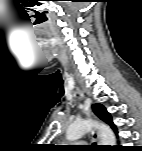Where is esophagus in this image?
<instances>
[{
    "instance_id": "esophagus-1",
    "label": "esophagus",
    "mask_w": 142,
    "mask_h": 151,
    "mask_svg": "<svg viewBox=\"0 0 142 151\" xmlns=\"http://www.w3.org/2000/svg\"><path fill=\"white\" fill-rule=\"evenodd\" d=\"M92 135H93L94 138L99 139V136H98V133H97L96 130L92 131Z\"/></svg>"
}]
</instances>
